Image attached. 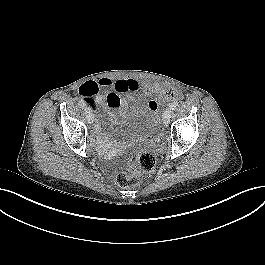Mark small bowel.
Segmentation results:
<instances>
[{
  "mask_svg": "<svg viewBox=\"0 0 265 265\" xmlns=\"http://www.w3.org/2000/svg\"><path fill=\"white\" fill-rule=\"evenodd\" d=\"M146 87L153 92H163V101L168 100L171 96L165 95V90L155 84H148ZM140 89V83L134 78L112 80L110 78H101L98 81H87L79 88V95L82 101L88 103L94 111L96 117L99 116L100 110L105 107L117 108L121 112L127 109L126 100L131 99V93ZM107 92V93H104ZM114 94L119 102L110 99V95ZM158 108V106H156ZM114 119L113 115H110ZM97 139L103 140L100 125L95 128Z\"/></svg>",
  "mask_w": 265,
  "mask_h": 265,
  "instance_id": "1",
  "label": "small bowel"
}]
</instances>
